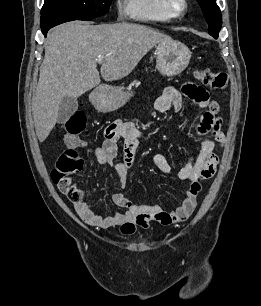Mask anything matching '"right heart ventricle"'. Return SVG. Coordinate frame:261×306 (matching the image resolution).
Returning <instances> with one entry per match:
<instances>
[{
	"label": "right heart ventricle",
	"instance_id": "e07e8e85",
	"mask_svg": "<svg viewBox=\"0 0 261 306\" xmlns=\"http://www.w3.org/2000/svg\"><path fill=\"white\" fill-rule=\"evenodd\" d=\"M127 13L140 21L166 22L172 17L166 12L163 0H126Z\"/></svg>",
	"mask_w": 261,
	"mask_h": 306
}]
</instances>
